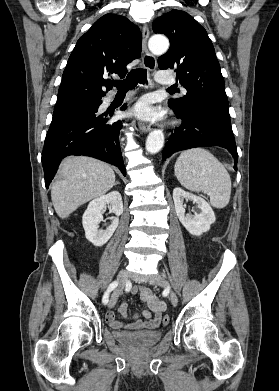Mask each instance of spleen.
<instances>
[{
    "label": "spleen",
    "instance_id": "3e777b00",
    "mask_svg": "<svg viewBox=\"0 0 279 391\" xmlns=\"http://www.w3.org/2000/svg\"><path fill=\"white\" fill-rule=\"evenodd\" d=\"M178 181L186 189L203 192L210 197L213 207L228 205L231 195V178L223 164L208 150L192 148L183 151L175 167Z\"/></svg>",
    "mask_w": 279,
    "mask_h": 391
}]
</instances>
